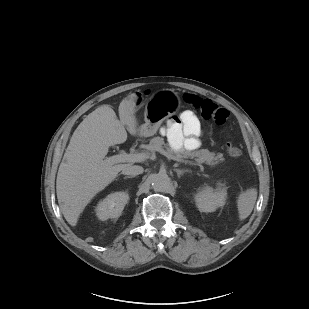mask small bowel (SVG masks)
Returning <instances> with one entry per match:
<instances>
[{
  "label": "small bowel",
  "mask_w": 309,
  "mask_h": 309,
  "mask_svg": "<svg viewBox=\"0 0 309 309\" xmlns=\"http://www.w3.org/2000/svg\"><path fill=\"white\" fill-rule=\"evenodd\" d=\"M200 123L192 111H183L179 118L167 125L169 142L175 150H196L200 146Z\"/></svg>",
  "instance_id": "c3829d8e"
}]
</instances>
